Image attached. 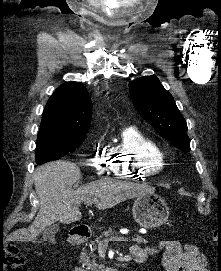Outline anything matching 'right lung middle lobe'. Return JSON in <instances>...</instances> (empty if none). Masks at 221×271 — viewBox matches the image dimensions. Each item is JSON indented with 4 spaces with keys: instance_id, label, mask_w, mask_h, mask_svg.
Returning a JSON list of instances; mask_svg holds the SVG:
<instances>
[{
    "instance_id": "dd1d6c3e",
    "label": "right lung middle lobe",
    "mask_w": 221,
    "mask_h": 271,
    "mask_svg": "<svg viewBox=\"0 0 221 271\" xmlns=\"http://www.w3.org/2000/svg\"><path fill=\"white\" fill-rule=\"evenodd\" d=\"M85 138L86 135L56 136L38 134L35 153L36 163L42 165L74 152Z\"/></svg>"
}]
</instances>
